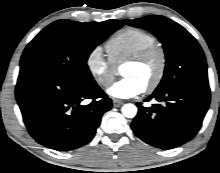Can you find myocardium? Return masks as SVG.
I'll return each mask as SVG.
<instances>
[{"label":"myocardium","mask_w":220,"mask_h":173,"mask_svg":"<svg viewBox=\"0 0 220 173\" xmlns=\"http://www.w3.org/2000/svg\"><path fill=\"white\" fill-rule=\"evenodd\" d=\"M153 59L157 60L158 66L153 80L145 87L147 93L154 92L164 79L167 68V56L165 50L158 45H154L138 52L125 61V64L141 65Z\"/></svg>","instance_id":"obj_1"}]
</instances>
